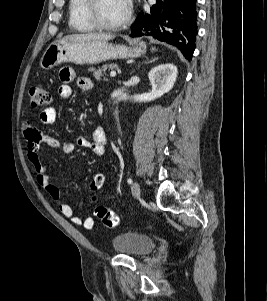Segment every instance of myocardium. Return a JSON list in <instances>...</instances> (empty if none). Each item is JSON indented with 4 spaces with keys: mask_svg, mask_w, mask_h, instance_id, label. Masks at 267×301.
Wrapping results in <instances>:
<instances>
[{
    "mask_svg": "<svg viewBox=\"0 0 267 301\" xmlns=\"http://www.w3.org/2000/svg\"><path fill=\"white\" fill-rule=\"evenodd\" d=\"M99 4L100 0H88L87 2L88 18L97 29L105 31H115L124 28L130 23L133 12L131 0H126V14L121 21L115 24H107L100 18L98 13Z\"/></svg>",
    "mask_w": 267,
    "mask_h": 301,
    "instance_id": "myocardium-1",
    "label": "myocardium"
}]
</instances>
